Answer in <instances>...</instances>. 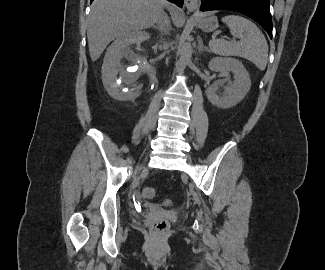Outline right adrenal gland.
I'll return each instance as SVG.
<instances>
[{
    "instance_id": "right-adrenal-gland-1",
    "label": "right adrenal gland",
    "mask_w": 325,
    "mask_h": 270,
    "mask_svg": "<svg viewBox=\"0 0 325 270\" xmlns=\"http://www.w3.org/2000/svg\"><path fill=\"white\" fill-rule=\"evenodd\" d=\"M154 29H157L160 34H166L167 33V21L165 20V17H161L156 25H153Z\"/></svg>"
}]
</instances>
